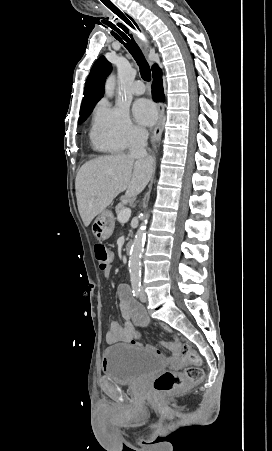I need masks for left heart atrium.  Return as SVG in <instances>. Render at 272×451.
I'll return each mask as SVG.
<instances>
[{"mask_svg": "<svg viewBox=\"0 0 272 451\" xmlns=\"http://www.w3.org/2000/svg\"><path fill=\"white\" fill-rule=\"evenodd\" d=\"M136 118L143 124H151L156 116V111L152 103L147 100L138 102L135 106Z\"/></svg>", "mask_w": 272, "mask_h": 451, "instance_id": "1", "label": "left heart atrium"}]
</instances>
